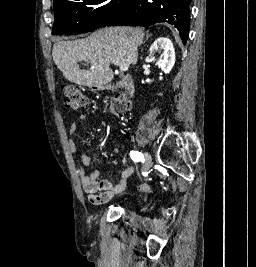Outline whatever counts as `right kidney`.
Instances as JSON below:
<instances>
[{
	"label": "right kidney",
	"mask_w": 256,
	"mask_h": 267,
	"mask_svg": "<svg viewBox=\"0 0 256 267\" xmlns=\"http://www.w3.org/2000/svg\"><path fill=\"white\" fill-rule=\"evenodd\" d=\"M160 50H163V58H159L157 64L162 72L169 74L175 64V52L173 44L169 38H158V40H155L149 50L150 54L147 56L146 60H153L155 52H160Z\"/></svg>",
	"instance_id": "1"
}]
</instances>
